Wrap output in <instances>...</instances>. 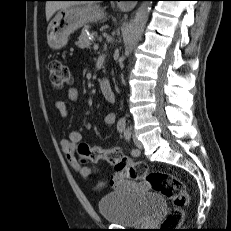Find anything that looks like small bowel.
I'll use <instances>...</instances> for the list:
<instances>
[{
	"label": "small bowel",
	"mask_w": 231,
	"mask_h": 231,
	"mask_svg": "<svg viewBox=\"0 0 231 231\" xmlns=\"http://www.w3.org/2000/svg\"><path fill=\"white\" fill-rule=\"evenodd\" d=\"M69 98L71 100H77L78 99V93L77 90L74 88H71L68 91ZM56 110L58 111V114L60 117L65 118L68 116V109L67 105L64 101H57L55 103ZM116 117L112 113H108L104 117V124L106 126H113L115 124ZM82 135L79 131L75 130L72 131L69 134V137L66 139H62L60 141V147L62 149V152L65 154L66 158L70 162V164L73 166V168L76 170V172L85 180H88L95 172L96 168H90L87 166H82L77 161L76 155H75V147L76 145L81 141ZM111 183L119 190L122 191H128V192H134V193H144L148 192L150 190V186L142 181H133L125 179L122 174H115L112 179ZM106 182H101L96 186V190H101L105 187Z\"/></svg>",
	"instance_id": "small-bowel-1"
}]
</instances>
